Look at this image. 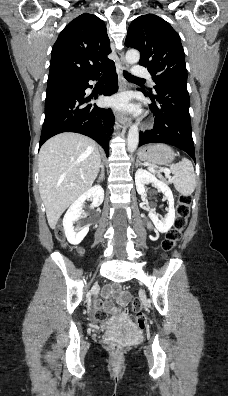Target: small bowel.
I'll return each mask as SVG.
<instances>
[{
  "instance_id": "1",
  "label": "small bowel",
  "mask_w": 228,
  "mask_h": 396,
  "mask_svg": "<svg viewBox=\"0 0 228 396\" xmlns=\"http://www.w3.org/2000/svg\"><path fill=\"white\" fill-rule=\"evenodd\" d=\"M103 294L106 300H96L94 304L97 308L102 309V311L106 313H118L120 311V308L125 306L130 299V295L128 293L122 292L118 286H107L104 289ZM110 298H113L117 302L119 307H115V305L109 300ZM99 323H104V319H100Z\"/></svg>"
}]
</instances>
